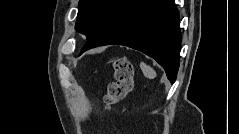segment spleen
Listing matches in <instances>:
<instances>
[{"mask_svg": "<svg viewBox=\"0 0 239 134\" xmlns=\"http://www.w3.org/2000/svg\"><path fill=\"white\" fill-rule=\"evenodd\" d=\"M140 68L146 78L154 79L156 77V72L150 66L146 65L144 62L140 63Z\"/></svg>", "mask_w": 239, "mask_h": 134, "instance_id": "3e777b00", "label": "spleen"}]
</instances>
